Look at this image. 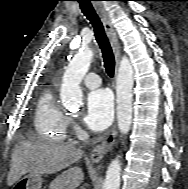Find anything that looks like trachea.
<instances>
[{"mask_svg":"<svg viewBox=\"0 0 188 189\" xmlns=\"http://www.w3.org/2000/svg\"><path fill=\"white\" fill-rule=\"evenodd\" d=\"M77 1L80 4L83 14L87 17L94 28L96 41L102 51L105 70L110 77H113L115 70V59L110 43L106 37L104 27L94 8L92 7L90 0Z\"/></svg>","mask_w":188,"mask_h":189,"instance_id":"obj_1","label":"trachea"}]
</instances>
